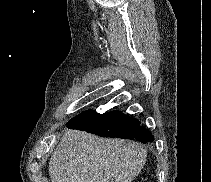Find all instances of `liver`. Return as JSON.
<instances>
[{"instance_id":"1","label":"liver","mask_w":211,"mask_h":182,"mask_svg":"<svg viewBox=\"0 0 211 182\" xmlns=\"http://www.w3.org/2000/svg\"><path fill=\"white\" fill-rule=\"evenodd\" d=\"M147 150L139 143L67 130L49 162L52 182H132Z\"/></svg>"}]
</instances>
